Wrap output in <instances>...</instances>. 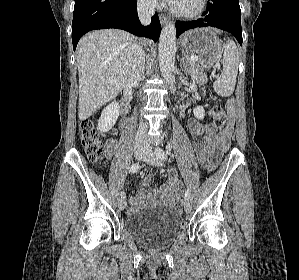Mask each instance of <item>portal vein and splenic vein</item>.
<instances>
[{
	"label": "portal vein and splenic vein",
	"instance_id": "18ae733b",
	"mask_svg": "<svg viewBox=\"0 0 299 280\" xmlns=\"http://www.w3.org/2000/svg\"><path fill=\"white\" fill-rule=\"evenodd\" d=\"M198 60V58L197 57H194V56H191L190 58H189V61H197Z\"/></svg>",
	"mask_w": 299,
	"mask_h": 280
}]
</instances>
